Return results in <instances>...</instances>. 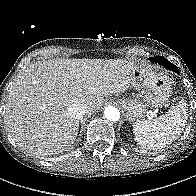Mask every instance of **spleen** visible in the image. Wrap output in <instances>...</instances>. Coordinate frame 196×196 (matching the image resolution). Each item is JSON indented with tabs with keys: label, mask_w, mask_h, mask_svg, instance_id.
<instances>
[{
	"label": "spleen",
	"mask_w": 196,
	"mask_h": 196,
	"mask_svg": "<svg viewBox=\"0 0 196 196\" xmlns=\"http://www.w3.org/2000/svg\"><path fill=\"white\" fill-rule=\"evenodd\" d=\"M187 119V103L181 100L157 119L136 121L133 124L135 140L144 148L166 147L181 135Z\"/></svg>",
	"instance_id": "spleen-1"
}]
</instances>
